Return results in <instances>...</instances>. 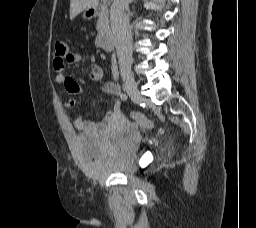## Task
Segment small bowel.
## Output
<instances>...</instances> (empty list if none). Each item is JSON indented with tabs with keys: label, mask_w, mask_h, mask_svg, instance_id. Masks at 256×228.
<instances>
[{
	"label": "small bowel",
	"mask_w": 256,
	"mask_h": 228,
	"mask_svg": "<svg viewBox=\"0 0 256 228\" xmlns=\"http://www.w3.org/2000/svg\"><path fill=\"white\" fill-rule=\"evenodd\" d=\"M89 63V78L92 81H99L103 77V69L95 63L94 57H83L80 54L70 51L67 61L63 64H59L57 60H53V67L57 72L55 81L57 83L63 84L64 88L69 94L77 95L82 92L81 86L75 81V79L65 72V65H84ZM102 92L117 96L119 92V87L114 82H106L102 87ZM74 105L73 100H69L66 104L67 107H72ZM127 123V118L123 113L118 99L115 100L113 108L106 113L102 121L96 123L93 121H87L82 115L75 118L74 126L77 130L82 132L91 133H107L121 127Z\"/></svg>",
	"instance_id": "small-bowel-1"
}]
</instances>
